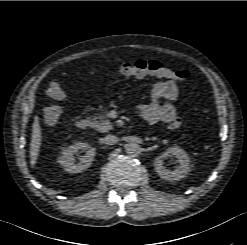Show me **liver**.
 I'll use <instances>...</instances> for the list:
<instances>
[{"label": "liver", "mask_w": 247, "mask_h": 245, "mask_svg": "<svg viewBox=\"0 0 247 245\" xmlns=\"http://www.w3.org/2000/svg\"><path fill=\"white\" fill-rule=\"evenodd\" d=\"M42 141V135H41V128L38 121V118L36 117L33 123L32 127V139L30 143V164L31 167H34V165L37 162V158L40 151Z\"/></svg>", "instance_id": "liver-1"}]
</instances>
